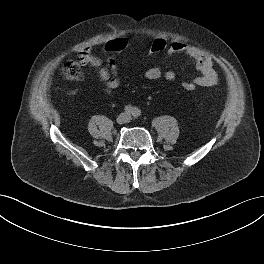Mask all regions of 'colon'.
<instances>
[{
	"label": "colon",
	"instance_id": "1",
	"mask_svg": "<svg viewBox=\"0 0 264 264\" xmlns=\"http://www.w3.org/2000/svg\"><path fill=\"white\" fill-rule=\"evenodd\" d=\"M128 47V40L125 37H115L108 40L104 46L106 53H121ZM167 47V41L164 38H156L149 46V54L156 55L163 52ZM64 74L68 79L77 80L81 77V69L75 61H69L64 67ZM181 87L188 92L194 91L197 84L194 80L184 81Z\"/></svg>",
	"mask_w": 264,
	"mask_h": 264
}]
</instances>
